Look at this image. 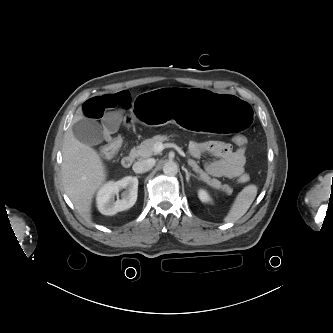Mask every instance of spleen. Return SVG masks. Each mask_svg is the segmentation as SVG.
<instances>
[{
    "label": "spleen",
    "mask_w": 333,
    "mask_h": 333,
    "mask_svg": "<svg viewBox=\"0 0 333 333\" xmlns=\"http://www.w3.org/2000/svg\"><path fill=\"white\" fill-rule=\"evenodd\" d=\"M258 188L256 185H247L245 186L236 196L229 213L224 218V221L236 222L239 220L249 209L251 204L253 203Z\"/></svg>",
    "instance_id": "1"
}]
</instances>
